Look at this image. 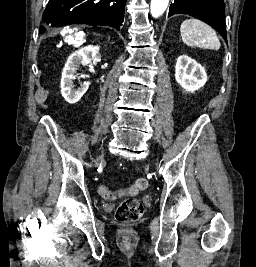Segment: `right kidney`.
<instances>
[{"instance_id": "1", "label": "right kidney", "mask_w": 256, "mask_h": 267, "mask_svg": "<svg viewBox=\"0 0 256 267\" xmlns=\"http://www.w3.org/2000/svg\"><path fill=\"white\" fill-rule=\"evenodd\" d=\"M99 52L100 46H85V48H80L78 52H74V54L69 56L63 68L60 84L61 94L68 104L79 102L80 98L84 96L89 88L88 82H81L79 88L74 90L73 80L85 78V76H78L76 70H78L79 66L91 64L92 60H99Z\"/></svg>"}]
</instances>
